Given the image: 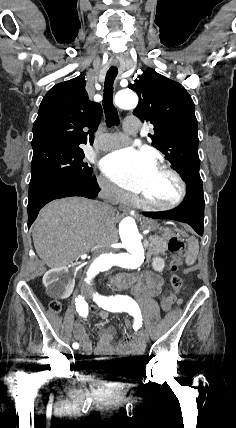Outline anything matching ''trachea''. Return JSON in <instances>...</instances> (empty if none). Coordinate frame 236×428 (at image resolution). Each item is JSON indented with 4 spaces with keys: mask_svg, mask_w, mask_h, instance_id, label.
I'll use <instances>...</instances> for the list:
<instances>
[{
    "mask_svg": "<svg viewBox=\"0 0 236 428\" xmlns=\"http://www.w3.org/2000/svg\"><path fill=\"white\" fill-rule=\"evenodd\" d=\"M118 74V68L112 66L109 68L106 74L104 82V98H103V109L106 117V124L111 127L114 124H119V116L116 108L113 105V83Z\"/></svg>",
    "mask_w": 236,
    "mask_h": 428,
    "instance_id": "trachea-1",
    "label": "trachea"
}]
</instances>
